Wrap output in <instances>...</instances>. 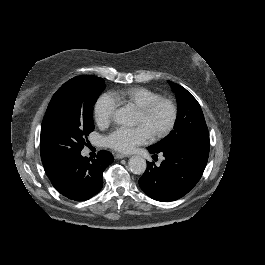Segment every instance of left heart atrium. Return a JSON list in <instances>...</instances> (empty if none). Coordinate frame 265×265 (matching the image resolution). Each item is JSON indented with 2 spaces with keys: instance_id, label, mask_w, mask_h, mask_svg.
Returning a JSON list of instances; mask_svg holds the SVG:
<instances>
[{
  "instance_id": "1",
  "label": "left heart atrium",
  "mask_w": 265,
  "mask_h": 265,
  "mask_svg": "<svg viewBox=\"0 0 265 265\" xmlns=\"http://www.w3.org/2000/svg\"><path fill=\"white\" fill-rule=\"evenodd\" d=\"M152 134L144 125L136 127L120 126L106 136L107 145L119 152H132L137 146L151 141Z\"/></svg>"
}]
</instances>
